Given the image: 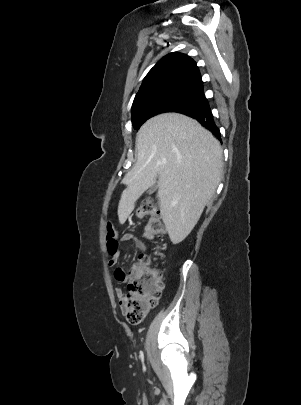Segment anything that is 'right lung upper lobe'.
Masks as SVG:
<instances>
[{"label":"right lung upper lobe","mask_w":301,"mask_h":405,"mask_svg":"<svg viewBox=\"0 0 301 405\" xmlns=\"http://www.w3.org/2000/svg\"><path fill=\"white\" fill-rule=\"evenodd\" d=\"M176 88L203 92V83L196 63L185 54L172 52L160 59L149 71L135 96L132 107L144 97Z\"/></svg>","instance_id":"right-lung-upper-lobe-1"}]
</instances>
